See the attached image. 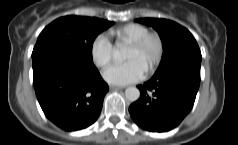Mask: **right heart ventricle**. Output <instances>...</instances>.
<instances>
[{"instance_id":"e07e8e85","label":"right heart ventricle","mask_w":238,"mask_h":145,"mask_svg":"<svg viewBox=\"0 0 238 145\" xmlns=\"http://www.w3.org/2000/svg\"><path fill=\"white\" fill-rule=\"evenodd\" d=\"M148 32V28L144 25L137 23H129L112 30L110 34L114 36L119 42L131 44L142 36H144L145 34H147Z\"/></svg>"}]
</instances>
